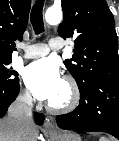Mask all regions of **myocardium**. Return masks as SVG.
<instances>
[{
	"instance_id": "1",
	"label": "myocardium",
	"mask_w": 119,
	"mask_h": 141,
	"mask_svg": "<svg viewBox=\"0 0 119 141\" xmlns=\"http://www.w3.org/2000/svg\"><path fill=\"white\" fill-rule=\"evenodd\" d=\"M63 83L68 89V99L62 104L47 103L48 111L52 113H69L73 111L80 102V90L76 80L67 75L63 78Z\"/></svg>"
}]
</instances>
